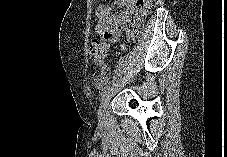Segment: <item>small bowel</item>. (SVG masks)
Segmentation results:
<instances>
[{"instance_id":"c3829d8e","label":"small bowel","mask_w":227,"mask_h":157,"mask_svg":"<svg viewBox=\"0 0 227 157\" xmlns=\"http://www.w3.org/2000/svg\"><path fill=\"white\" fill-rule=\"evenodd\" d=\"M135 2L136 0H116L115 5L121 8L118 13L113 12L114 5H99L94 12L97 19L95 31L109 42L118 41L134 11Z\"/></svg>"}]
</instances>
